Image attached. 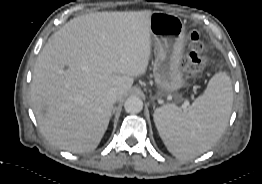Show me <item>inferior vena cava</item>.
Returning <instances> with one entry per match:
<instances>
[{"label": "inferior vena cava", "instance_id": "obj_1", "mask_svg": "<svg viewBox=\"0 0 262 184\" xmlns=\"http://www.w3.org/2000/svg\"><path fill=\"white\" fill-rule=\"evenodd\" d=\"M106 99L108 102L114 104L119 99L118 92L115 89H110L106 94Z\"/></svg>", "mask_w": 262, "mask_h": 184}]
</instances>
